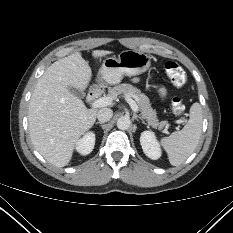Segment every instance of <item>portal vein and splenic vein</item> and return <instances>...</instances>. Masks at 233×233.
Wrapping results in <instances>:
<instances>
[{"instance_id":"portal-vein-and-splenic-vein-1","label":"portal vein and splenic vein","mask_w":233,"mask_h":233,"mask_svg":"<svg viewBox=\"0 0 233 233\" xmlns=\"http://www.w3.org/2000/svg\"><path fill=\"white\" fill-rule=\"evenodd\" d=\"M126 101L129 103L130 107L132 108V110L134 112L138 111V105L136 104V102L132 98H130V96L126 95ZM112 102H113L112 97H102V98L95 100L92 103V107L93 108H101V107L111 105Z\"/></svg>"}]
</instances>
